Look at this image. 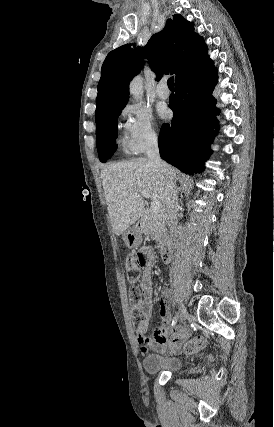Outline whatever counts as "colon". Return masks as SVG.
Listing matches in <instances>:
<instances>
[{"instance_id":"5ec220e1","label":"colon","mask_w":274,"mask_h":427,"mask_svg":"<svg viewBox=\"0 0 274 427\" xmlns=\"http://www.w3.org/2000/svg\"><path fill=\"white\" fill-rule=\"evenodd\" d=\"M147 261V255L140 249L134 250L127 257V281L129 283L130 309H135L134 317H139L141 311L137 308L141 300L140 289L136 286L139 281V272ZM206 344V338L198 335L193 339L185 342L184 348L188 353L199 352Z\"/></svg>"}]
</instances>
